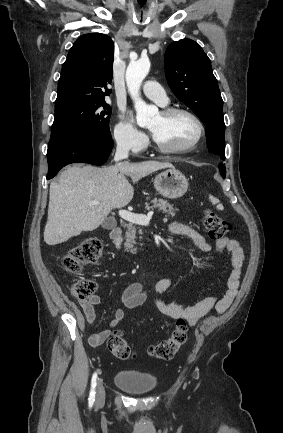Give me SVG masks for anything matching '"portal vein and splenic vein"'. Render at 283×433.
<instances>
[{"mask_svg":"<svg viewBox=\"0 0 283 433\" xmlns=\"http://www.w3.org/2000/svg\"><path fill=\"white\" fill-rule=\"evenodd\" d=\"M90 204H100L99 200H93ZM118 214H120L121 219H125V221H129V223H137V225H148L153 210H149L147 214H136V212H130V210H119Z\"/></svg>","mask_w":283,"mask_h":433,"instance_id":"18ae733b","label":"portal vein and splenic vein"}]
</instances>
